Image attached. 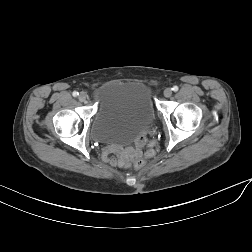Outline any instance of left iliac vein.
Wrapping results in <instances>:
<instances>
[{
	"instance_id": "left-iliac-vein-1",
	"label": "left iliac vein",
	"mask_w": 252,
	"mask_h": 252,
	"mask_svg": "<svg viewBox=\"0 0 252 252\" xmlns=\"http://www.w3.org/2000/svg\"><path fill=\"white\" fill-rule=\"evenodd\" d=\"M163 95L165 97H170L172 95V90L170 88H166L164 91H163Z\"/></svg>"
}]
</instances>
